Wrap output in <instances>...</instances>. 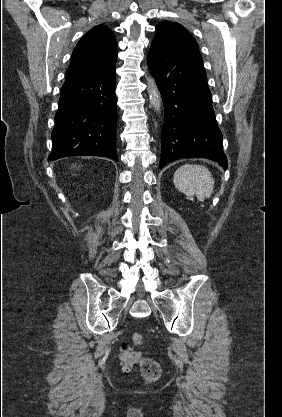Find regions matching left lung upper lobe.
<instances>
[{
	"label": "left lung upper lobe",
	"mask_w": 282,
	"mask_h": 417,
	"mask_svg": "<svg viewBox=\"0 0 282 417\" xmlns=\"http://www.w3.org/2000/svg\"><path fill=\"white\" fill-rule=\"evenodd\" d=\"M151 45L199 53L193 36L182 25L171 21H162L156 26V36Z\"/></svg>",
	"instance_id": "obj_1"
}]
</instances>
